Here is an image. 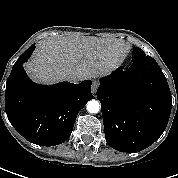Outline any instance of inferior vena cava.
<instances>
[{
  "mask_svg": "<svg viewBox=\"0 0 178 178\" xmlns=\"http://www.w3.org/2000/svg\"><path fill=\"white\" fill-rule=\"evenodd\" d=\"M68 80H69L70 82H73V83H78V82L81 81V78H80L79 76H77V75H70V76L68 77Z\"/></svg>",
  "mask_w": 178,
  "mask_h": 178,
  "instance_id": "602c4592",
  "label": "inferior vena cava"
}]
</instances>
